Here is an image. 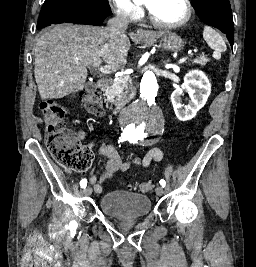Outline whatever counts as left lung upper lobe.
<instances>
[{
	"label": "left lung upper lobe",
	"mask_w": 256,
	"mask_h": 267,
	"mask_svg": "<svg viewBox=\"0 0 256 267\" xmlns=\"http://www.w3.org/2000/svg\"><path fill=\"white\" fill-rule=\"evenodd\" d=\"M201 20L226 34L231 46L234 42V24L229 0H192Z\"/></svg>",
	"instance_id": "1"
}]
</instances>
